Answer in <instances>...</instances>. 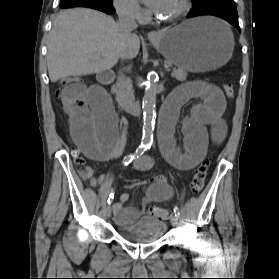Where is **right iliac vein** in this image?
<instances>
[{
    "label": "right iliac vein",
    "mask_w": 279,
    "mask_h": 279,
    "mask_svg": "<svg viewBox=\"0 0 279 279\" xmlns=\"http://www.w3.org/2000/svg\"><path fill=\"white\" fill-rule=\"evenodd\" d=\"M111 214H112V207H111V205L109 204V205H107V207H106V217H107V218H110Z\"/></svg>",
    "instance_id": "right-iliac-vein-1"
}]
</instances>
